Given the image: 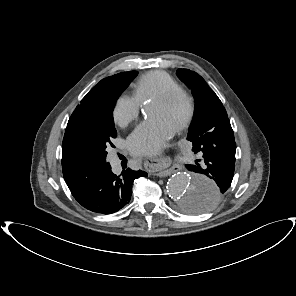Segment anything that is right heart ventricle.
I'll list each match as a JSON object with an SVG mask.
<instances>
[{
    "instance_id": "e07e8e85",
    "label": "right heart ventricle",
    "mask_w": 296,
    "mask_h": 296,
    "mask_svg": "<svg viewBox=\"0 0 296 296\" xmlns=\"http://www.w3.org/2000/svg\"><path fill=\"white\" fill-rule=\"evenodd\" d=\"M181 88L178 81L164 71H150L133 85V97L140 103L152 100L166 92Z\"/></svg>"
}]
</instances>
